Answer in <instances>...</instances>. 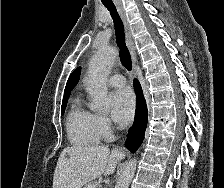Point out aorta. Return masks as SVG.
Instances as JSON below:
<instances>
[{
  "mask_svg": "<svg viewBox=\"0 0 224 188\" xmlns=\"http://www.w3.org/2000/svg\"><path fill=\"white\" fill-rule=\"evenodd\" d=\"M117 51L114 47L105 46L100 48L91 58L86 79L87 90L92 102L90 108L104 112L108 104L107 77L113 67ZM137 160L132 159L124 171L115 188H128L135 174Z\"/></svg>",
  "mask_w": 224,
  "mask_h": 188,
  "instance_id": "762f6f07",
  "label": "aorta"
}]
</instances>
